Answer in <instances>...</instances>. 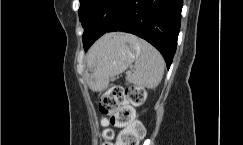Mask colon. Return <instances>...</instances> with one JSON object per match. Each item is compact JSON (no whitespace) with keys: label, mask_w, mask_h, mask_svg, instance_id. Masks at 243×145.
Instances as JSON below:
<instances>
[{"label":"colon","mask_w":243,"mask_h":145,"mask_svg":"<svg viewBox=\"0 0 243 145\" xmlns=\"http://www.w3.org/2000/svg\"><path fill=\"white\" fill-rule=\"evenodd\" d=\"M145 99V90L131 84L113 86L104 93L99 104L100 112L104 116L103 125H112L121 128V131L113 144V130L104 128L100 145H139L145 135V129L135 120L134 107L141 106Z\"/></svg>","instance_id":"1"}]
</instances>
